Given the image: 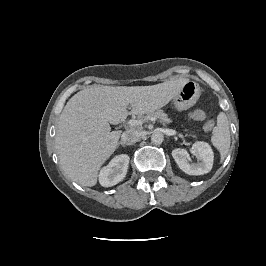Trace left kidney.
I'll return each mask as SVG.
<instances>
[{"label": "left kidney", "instance_id": "1", "mask_svg": "<svg viewBox=\"0 0 266 266\" xmlns=\"http://www.w3.org/2000/svg\"><path fill=\"white\" fill-rule=\"evenodd\" d=\"M192 152L197 156L198 163H189V153L186 149H174L172 156L179 168L189 175H203L211 171L214 153L206 142L197 141L192 145Z\"/></svg>", "mask_w": 266, "mask_h": 266}]
</instances>
